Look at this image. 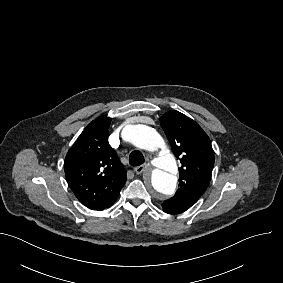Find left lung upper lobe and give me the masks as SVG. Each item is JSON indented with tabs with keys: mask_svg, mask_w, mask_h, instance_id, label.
Masks as SVG:
<instances>
[{
	"mask_svg": "<svg viewBox=\"0 0 283 283\" xmlns=\"http://www.w3.org/2000/svg\"><path fill=\"white\" fill-rule=\"evenodd\" d=\"M160 124L181 163L179 189L163 204L189 209L206 191L211 180L214 153L210 139L195 121L177 111L165 113Z\"/></svg>",
	"mask_w": 283,
	"mask_h": 283,
	"instance_id": "obj_1",
	"label": "left lung upper lobe"
}]
</instances>
